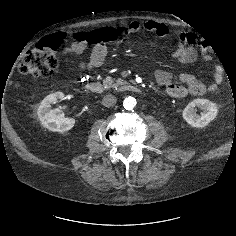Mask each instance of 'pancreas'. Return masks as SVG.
<instances>
[{"label": "pancreas", "instance_id": "1", "mask_svg": "<svg viewBox=\"0 0 236 236\" xmlns=\"http://www.w3.org/2000/svg\"><path fill=\"white\" fill-rule=\"evenodd\" d=\"M126 84V81L122 80V79H117V81L115 82V80L112 77H106L103 80V85L105 86V88H116L120 85H124Z\"/></svg>", "mask_w": 236, "mask_h": 236}]
</instances>
